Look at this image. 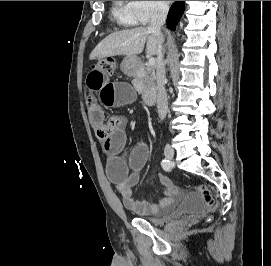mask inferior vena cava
Here are the masks:
<instances>
[{"label":"inferior vena cava","mask_w":271,"mask_h":266,"mask_svg":"<svg viewBox=\"0 0 271 266\" xmlns=\"http://www.w3.org/2000/svg\"><path fill=\"white\" fill-rule=\"evenodd\" d=\"M169 7L167 4L158 2L155 4L151 23L148 30L158 37V63H157V111L161 120L165 119L168 111L167 94L165 90V65L163 61L162 43L164 41L161 27L166 21Z\"/></svg>","instance_id":"602c4592"}]
</instances>
